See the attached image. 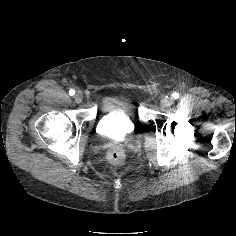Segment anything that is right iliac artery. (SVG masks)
Here are the masks:
<instances>
[{
  "mask_svg": "<svg viewBox=\"0 0 236 236\" xmlns=\"http://www.w3.org/2000/svg\"><path fill=\"white\" fill-rule=\"evenodd\" d=\"M75 94V91L73 89L69 90V95L73 96Z\"/></svg>",
  "mask_w": 236,
  "mask_h": 236,
  "instance_id": "82829eb1",
  "label": "right iliac artery"
}]
</instances>
